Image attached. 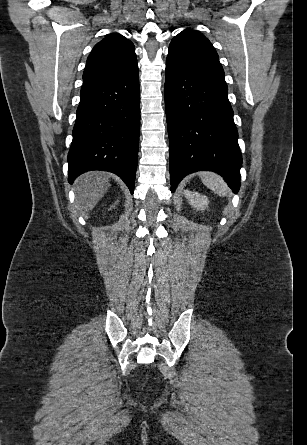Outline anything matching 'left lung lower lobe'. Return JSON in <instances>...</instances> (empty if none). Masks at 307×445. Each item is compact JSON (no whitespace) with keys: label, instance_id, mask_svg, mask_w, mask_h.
<instances>
[{"label":"left lung lower lobe","instance_id":"1","mask_svg":"<svg viewBox=\"0 0 307 445\" xmlns=\"http://www.w3.org/2000/svg\"><path fill=\"white\" fill-rule=\"evenodd\" d=\"M165 108L172 192L186 175L211 170L237 193L242 156L227 88L167 58Z\"/></svg>","mask_w":307,"mask_h":445}]
</instances>
